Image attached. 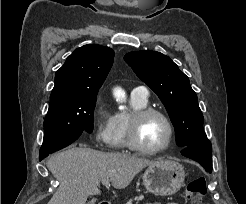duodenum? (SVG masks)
Returning a JSON list of instances; mask_svg holds the SVG:
<instances>
[{
    "mask_svg": "<svg viewBox=\"0 0 246 204\" xmlns=\"http://www.w3.org/2000/svg\"><path fill=\"white\" fill-rule=\"evenodd\" d=\"M99 204H110V203H109V202L104 201V202H101V203H99Z\"/></svg>",
    "mask_w": 246,
    "mask_h": 204,
    "instance_id": "1",
    "label": "duodenum"
}]
</instances>
